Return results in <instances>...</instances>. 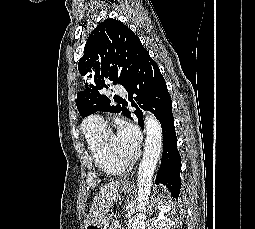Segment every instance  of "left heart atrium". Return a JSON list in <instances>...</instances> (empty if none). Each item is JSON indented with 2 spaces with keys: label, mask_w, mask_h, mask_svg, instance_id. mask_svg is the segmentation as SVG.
<instances>
[{
  "label": "left heart atrium",
  "mask_w": 255,
  "mask_h": 229,
  "mask_svg": "<svg viewBox=\"0 0 255 229\" xmlns=\"http://www.w3.org/2000/svg\"><path fill=\"white\" fill-rule=\"evenodd\" d=\"M117 139L121 146L135 155L140 145V133L138 129L127 121H122L118 126Z\"/></svg>",
  "instance_id": "left-heart-atrium-1"
}]
</instances>
